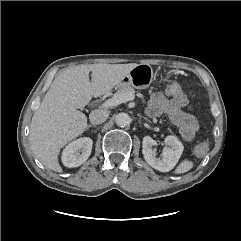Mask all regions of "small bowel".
Returning a JSON list of instances; mask_svg holds the SVG:
<instances>
[{
  "instance_id": "small-bowel-1",
  "label": "small bowel",
  "mask_w": 241,
  "mask_h": 241,
  "mask_svg": "<svg viewBox=\"0 0 241 241\" xmlns=\"http://www.w3.org/2000/svg\"><path fill=\"white\" fill-rule=\"evenodd\" d=\"M181 106L176 100L168 99L163 93L157 92L151 96L148 114L154 117L167 115L179 127L182 138L192 141L198 130V123L195 117L186 113Z\"/></svg>"
}]
</instances>
